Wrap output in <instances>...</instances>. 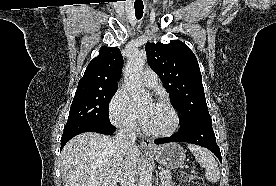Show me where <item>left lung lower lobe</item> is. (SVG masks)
Here are the masks:
<instances>
[{
	"instance_id": "0a47b994",
	"label": "left lung lower lobe",
	"mask_w": 276,
	"mask_h": 186,
	"mask_svg": "<svg viewBox=\"0 0 276 186\" xmlns=\"http://www.w3.org/2000/svg\"><path fill=\"white\" fill-rule=\"evenodd\" d=\"M156 144L169 142H187L203 146L213 152L222 162L220 149L216 143L215 134L212 128V120L196 123L183 131H178L174 136L160 138L154 141Z\"/></svg>"
}]
</instances>
